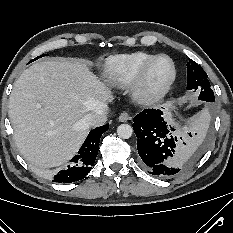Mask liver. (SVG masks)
I'll use <instances>...</instances> for the list:
<instances>
[{"label":"liver","mask_w":233,"mask_h":233,"mask_svg":"<svg viewBox=\"0 0 233 233\" xmlns=\"http://www.w3.org/2000/svg\"><path fill=\"white\" fill-rule=\"evenodd\" d=\"M112 100L108 87L77 60H47L15 81L8 115L15 143L32 165L60 166L79 150L89 132L85 117Z\"/></svg>","instance_id":"obj_1"}]
</instances>
